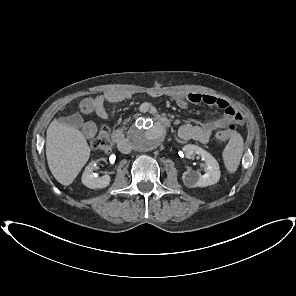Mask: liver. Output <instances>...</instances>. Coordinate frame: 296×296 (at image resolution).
I'll list each match as a JSON object with an SVG mask.
<instances>
[{"instance_id": "1", "label": "liver", "mask_w": 296, "mask_h": 296, "mask_svg": "<svg viewBox=\"0 0 296 296\" xmlns=\"http://www.w3.org/2000/svg\"><path fill=\"white\" fill-rule=\"evenodd\" d=\"M46 156L52 175L68 186L88 161L90 147L78 129L53 120L47 129Z\"/></svg>"}]
</instances>
